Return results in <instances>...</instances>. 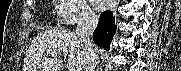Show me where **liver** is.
I'll use <instances>...</instances> for the list:
<instances>
[{"label": "liver", "mask_w": 181, "mask_h": 71, "mask_svg": "<svg viewBox=\"0 0 181 71\" xmlns=\"http://www.w3.org/2000/svg\"><path fill=\"white\" fill-rule=\"evenodd\" d=\"M53 53L57 56H52ZM61 56H68L69 71H83L86 67V52L75 33L67 30L40 32L27 50L23 71H60Z\"/></svg>", "instance_id": "obj_1"}]
</instances>
